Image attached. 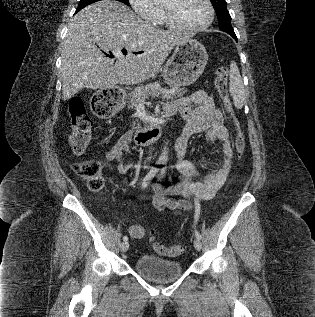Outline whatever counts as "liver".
Here are the masks:
<instances>
[{"label": "liver", "mask_w": 315, "mask_h": 317, "mask_svg": "<svg viewBox=\"0 0 315 317\" xmlns=\"http://www.w3.org/2000/svg\"><path fill=\"white\" fill-rule=\"evenodd\" d=\"M191 38L157 29L115 0L96 2L68 25L61 54L62 99L69 100L83 88L142 83L159 71L175 45ZM122 48L128 51L124 58ZM109 51L116 62L106 56Z\"/></svg>", "instance_id": "1"}]
</instances>
